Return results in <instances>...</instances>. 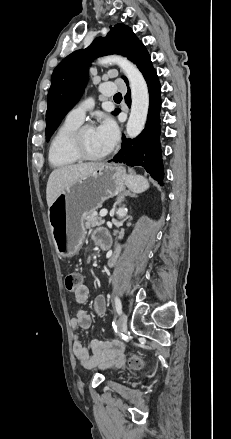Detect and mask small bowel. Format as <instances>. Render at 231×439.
I'll use <instances>...</instances> for the list:
<instances>
[{
    "label": "small bowel",
    "instance_id": "1",
    "mask_svg": "<svg viewBox=\"0 0 231 439\" xmlns=\"http://www.w3.org/2000/svg\"><path fill=\"white\" fill-rule=\"evenodd\" d=\"M94 242L100 245L105 239L111 242L108 232L104 229H97L93 232ZM120 249L117 247L111 252L108 264L113 266L119 255ZM91 283H78L74 295L77 307L75 315L70 319V327L73 331V352L79 363L85 368H94L98 366L122 364L124 359L123 344L120 342H103L98 339L90 341V349L82 344L79 335L80 330H88L91 326V317L81 305L86 303L91 296ZM70 291V290H69ZM94 313L102 316L106 312V299L104 296H97L93 303Z\"/></svg>",
    "mask_w": 231,
    "mask_h": 439
}]
</instances>
